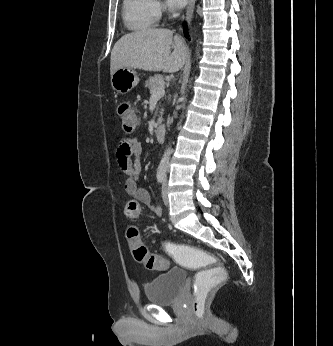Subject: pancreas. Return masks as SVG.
Returning a JSON list of instances; mask_svg holds the SVG:
<instances>
[{
	"instance_id": "cf45deb5",
	"label": "pancreas",
	"mask_w": 333,
	"mask_h": 346,
	"mask_svg": "<svg viewBox=\"0 0 333 346\" xmlns=\"http://www.w3.org/2000/svg\"><path fill=\"white\" fill-rule=\"evenodd\" d=\"M164 79L162 75L156 74L154 76L149 77V79L146 82V87L150 89V92L152 93L154 90L158 88L164 87ZM162 115V112H161ZM162 121V117H159L157 124H160Z\"/></svg>"
}]
</instances>
